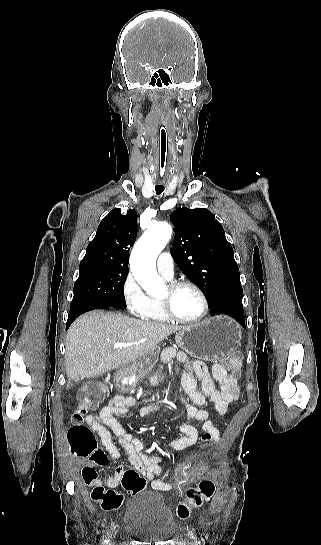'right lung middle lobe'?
Listing matches in <instances>:
<instances>
[{"mask_svg": "<svg viewBox=\"0 0 321 545\" xmlns=\"http://www.w3.org/2000/svg\"><path fill=\"white\" fill-rule=\"evenodd\" d=\"M128 270L101 267L79 269L70 310L81 305L125 304L124 283Z\"/></svg>", "mask_w": 321, "mask_h": 545, "instance_id": "dd1d6c3e", "label": "right lung middle lobe"}]
</instances>
